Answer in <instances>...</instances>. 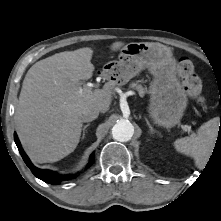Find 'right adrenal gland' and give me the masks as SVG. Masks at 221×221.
I'll list each match as a JSON object with an SVG mask.
<instances>
[{
  "instance_id": "right-adrenal-gland-1",
  "label": "right adrenal gland",
  "mask_w": 221,
  "mask_h": 221,
  "mask_svg": "<svg viewBox=\"0 0 221 221\" xmlns=\"http://www.w3.org/2000/svg\"><path fill=\"white\" fill-rule=\"evenodd\" d=\"M89 125H90V124H87V125H85V126L83 127L82 139H84L86 128H87Z\"/></svg>"
}]
</instances>
